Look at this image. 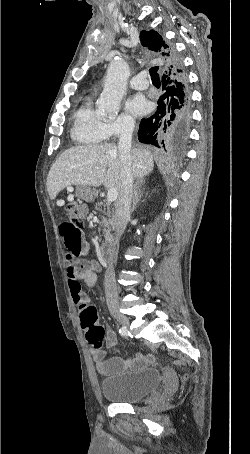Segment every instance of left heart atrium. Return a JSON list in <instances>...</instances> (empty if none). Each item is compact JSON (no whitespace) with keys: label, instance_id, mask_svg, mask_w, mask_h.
Returning a JSON list of instances; mask_svg holds the SVG:
<instances>
[{"label":"left heart atrium","instance_id":"39dd6f15","mask_svg":"<svg viewBox=\"0 0 250 454\" xmlns=\"http://www.w3.org/2000/svg\"><path fill=\"white\" fill-rule=\"evenodd\" d=\"M126 109L133 116H141L147 112L148 103L142 96L136 95L126 102Z\"/></svg>","mask_w":250,"mask_h":454}]
</instances>
